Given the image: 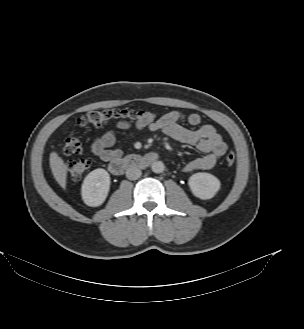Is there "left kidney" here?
<instances>
[{
	"mask_svg": "<svg viewBox=\"0 0 304 329\" xmlns=\"http://www.w3.org/2000/svg\"><path fill=\"white\" fill-rule=\"evenodd\" d=\"M188 185L194 196L207 200L213 198L220 189L221 183L217 177L210 173L199 172L193 174Z\"/></svg>",
	"mask_w": 304,
	"mask_h": 329,
	"instance_id": "obj_1",
	"label": "left kidney"
}]
</instances>
